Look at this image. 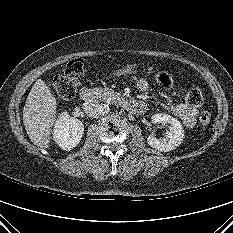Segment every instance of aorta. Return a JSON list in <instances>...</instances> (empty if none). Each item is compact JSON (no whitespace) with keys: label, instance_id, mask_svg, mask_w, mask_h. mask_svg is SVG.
I'll return each mask as SVG.
<instances>
[{"label":"aorta","instance_id":"1","mask_svg":"<svg viewBox=\"0 0 233 233\" xmlns=\"http://www.w3.org/2000/svg\"><path fill=\"white\" fill-rule=\"evenodd\" d=\"M103 108H102V115H106L109 113L110 107L107 104H102Z\"/></svg>","mask_w":233,"mask_h":233}]
</instances>
